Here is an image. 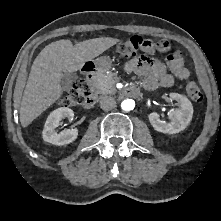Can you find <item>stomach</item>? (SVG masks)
Listing matches in <instances>:
<instances>
[{"label": "stomach", "mask_w": 221, "mask_h": 221, "mask_svg": "<svg viewBox=\"0 0 221 221\" xmlns=\"http://www.w3.org/2000/svg\"><path fill=\"white\" fill-rule=\"evenodd\" d=\"M95 66L100 71H107L111 66V60L109 57H101L96 59Z\"/></svg>", "instance_id": "stomach-1"}]
</instances>
